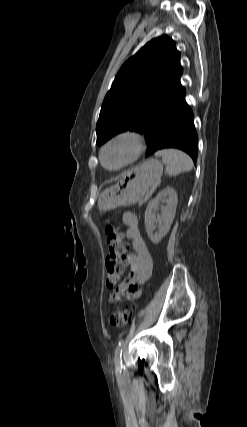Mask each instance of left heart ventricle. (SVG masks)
<instances>
[{"mask_svg": "<svg viewBox=\"0 0 247 427\" xmlns=\"http://www.w3.org/2000/svg\"><path fill=\"white\" fill-rule=\"evenodd\" d=\"M130 153L131 147L129 143H117L105 151L104 162L109 167H115L124 162L129 157Z\"/></svg>", "mask_w": 247, "mask_h": 427, "instance_id": "left-heart-ventricle-1", "label": "left heart ventricle"}]
</instances>
